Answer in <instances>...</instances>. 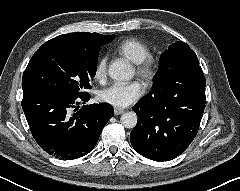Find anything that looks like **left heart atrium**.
<instances>
[{
    "instance_id": "left-heart-atrium-1",
    "label": "left heart atrium",
    "mask_w": 240,
    "mask_h": 191,
    "mask_svg": "<svg viewBox=\"0 0 240 191\" xmlns=\"http://www.w3.org/2000/svg\"><path fill=\"white\" fill-rule=\"evenodd\" d=\"M143 92L144 88L138 81L115 82L101 92L100 98L110 105L123 108L137 101Z\"/></svg>"
}]
</instances>
